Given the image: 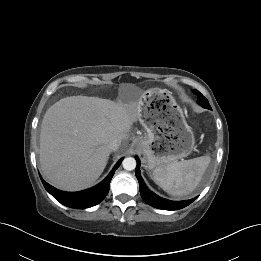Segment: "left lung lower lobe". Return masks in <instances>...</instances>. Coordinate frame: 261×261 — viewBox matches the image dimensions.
Masks as SVG:
<instances>
[{
  "instance_id": "left-lung-lower-lobe-1",
  "label": "left lung lower lobe",
  "mask_w": 261,
  "mask_h": 261,
  "mask_svg": "<svg viewBox=\"0 0 261 261\" xmlns=\"http://www.w3.org/2000/svg\"><path fill=\"white\" fill-rule=\"evenodd\" d=\"M135 159L137 161V167H136L135 173H136V177L139 181L140 193H141L143 200L150 206L159 208V209H163V210H178V209H182V208L188 206L196 199V198H193L191 200H186V201H170V200L159 197L158 195H156L155 193L150 191L145 186L144 181L140 174V169H139L140 160L137 156L135 157Z\"/></svg>"
}]
</instances>
